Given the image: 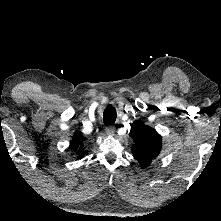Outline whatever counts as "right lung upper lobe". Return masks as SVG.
<instances>
[{
  "instance_id": "1",
  "label": "right lung upper lobe",
  "mask_w": 221,
  "mask_h": 221,
  "mask_svg": "<svg viewBox=\"0 0 221 221\" xmlns=\"http://www.w3.org/2000/svg\"><path fill=\"white\" fill-rule=\"evenodd\" d=\"M85 141V138L79 134L76 133L70 143V149L76 151L78 158H82L84 156L83 154V142Z\"/></svg>"
}]
</instances>
